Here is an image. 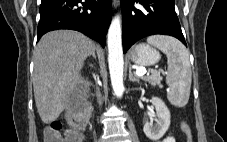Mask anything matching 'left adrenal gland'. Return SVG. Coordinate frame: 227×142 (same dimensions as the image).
I'll list each match as a JSON object with an SVG mask.
<instances>
[{"label":"left adrenal gland","instance_id":"1","mask_svg":"<svg viewBox=\"0 0 227 142\" xmlns=\"http://www.w3.org/2000/svg\"><path fill=\"white\" fill-rule=\"evenodd\" d=\"M129 80L132 82H139V79L135 78L132 73V68L131 66L129 67Z\"/></svg>","mask_w":227,"mask_h":142}]
</instances>
